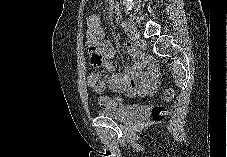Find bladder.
<instances>
[{"label": "bladder", "mask_w": 227, "mask_h": 157, "mask_svg": "<svg viewBox=\"0 0 227 157\" xmlns=\"http://www.w3.org/2000/svg\"><path fill=\"white\" fill-rule=\"evenodd\" d=\"M100 116L112 118L114 120L128 123L136 120L142 114L139 105H124L119 107H107L97 111Z\"/></svg>", "instance_id": "obj_1"}]
</instances>
